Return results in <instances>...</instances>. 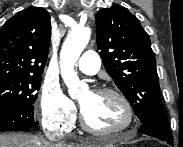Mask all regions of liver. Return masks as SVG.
<instances>
[{
  "label": "liver",
  "instance_id": "6515ba94",
  "mask_svg": "<svg viewBox=\"0 0 183 147\" xmlns=\"http://www.w3.org/2000/svg\"><path fill=\"white\" fill-rule=\"evenodd\" d=\"M94 142L81 145L51 143L31 134L8 133L0 134V147H93Z\"/></svg>",
  "mask_w": 183,
  "mask_h": 147
}]
</instances>
